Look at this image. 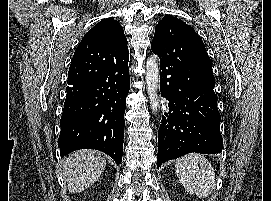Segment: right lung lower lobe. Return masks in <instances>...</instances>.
I'll list each match as a JSON object with an SVG mask.
<instances>
[{
    "mask_svg": "<svg viewBox=\"0 0 271 201\" xmlns=\"http://www.w3.org/2000/svg\"><path fill=\"white\" fill-rule=\"evenodd\" d=\"M129 55L111 43L80 42L68 71L58 139L61 157L78 149L100 150L120 164Z\"/></svg>",
    "mask_w": 271,
    "mask_h": 201,
    "instance_id": "98d812e1",
    "label": "right lung lower lobe"
}]
</instances>
